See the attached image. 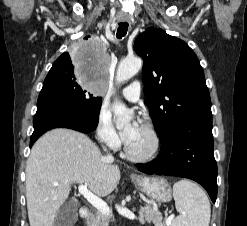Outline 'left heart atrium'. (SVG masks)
I'll list each match as a JSON object with an SVG mask.
<instances>
[{"mask_svg": "<svg viewBox=\"0 0 247 226\" xmlns=\"http://www.w3.org/2000/svg\"><path fill=\"white\" fill-rule=\"evenodd\" d=\"M139 128V123L133 122L130 128L123 133V139L127 142L133 136V134L138 131Z\"/></svg>", "mask_w": 247, "mask_h": 226, "instance_id": "left-heart-atrium-1", "label": "left heart atrium"}]
</instances>
